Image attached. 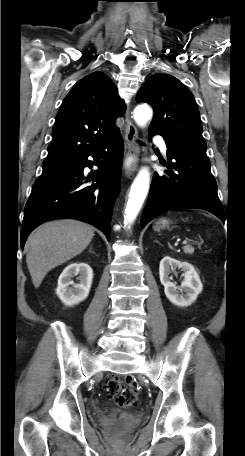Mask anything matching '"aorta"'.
Returning a JSON list of instances; mask_svg holds the SVG:
<instances>
[{"label": "aorta", "mask_w": 245, "mask_h": 456, "mask_svg": "<svg viewBox=\"0 0 245 456\" xmlns=\"http://www.w3.org/2000/svg\"><path fill=\"white\" fill-rule=\"evenodd\" d=\"M152 109L147 104L139 105L134 110V119L139 126H144L152 118ZM150 173L142 168L134 179L125 209V225H131L136 219L149 190Z\"/></svg>", "instance_id": "762f6f07"}]
</instances>
